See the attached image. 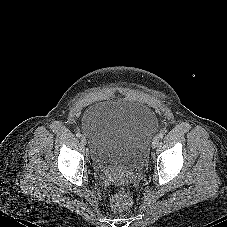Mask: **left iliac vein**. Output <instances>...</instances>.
<instances>
[{"mask_svg":"<svg viewBox=\"0 0 227 227\" xmlns=\"http://www.w3.org/2000/svg\"><path fill=\"white\" fill-rule=\"evenodd\" d=\"M159 142H160L159 136L154 137L153 142H152V147H153V148L158 147Z\"/></svg>","mask_w":227,"mask_h":227,"instance_id":"obj_1","label":"left iliac vein"}]
</instances>
